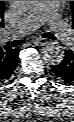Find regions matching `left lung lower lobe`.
Here are the masks:
<instances>
[{
	"mask_svg": "<svg viewBox=\"0 0 74 122\" xmlns=\"http://www.w3.org/2000/svg\"><path fill=\"white\" fill-rule=\"evenodd\" d=\"M51 68L62 82L74 85V49L66 50L62 62Z\"/></svg>",
	"mask_w": 74,
	"mask_h": 122,
	"instance_id": "left-lung-lower-lobe-1",
	"label": "left lung lower lobe"
}]
</instances>
